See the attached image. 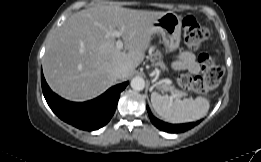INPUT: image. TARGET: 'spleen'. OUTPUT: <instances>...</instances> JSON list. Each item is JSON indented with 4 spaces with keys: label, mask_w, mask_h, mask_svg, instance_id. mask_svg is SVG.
Returning <instances> with one entry per match:
<instances>
[{
    "label": "spleen",
    "mask_w": 261,
    "mask_h": 162,
    "mask_svg": "<svg viewBox=\"0 0 261 162\" xmlns=\"http://www.w3.org/2000/svg\"><path fill=\"white\" fill-rule=\"evenodd\" d=\"M151 102L155 112L172 123H185L198 120L208 112L210 103L204 97L196 99L151 94Z\"/></svg>",
    "instance_id": "obj_1"
}]
</instances>
